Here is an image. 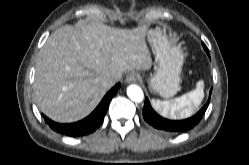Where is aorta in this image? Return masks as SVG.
<instances>
[{
	"instance_id": "obj_1",
	"label": "aorta",
	"mask_w": 249,
	"mask_h": 165,
	"mask_svg": "<svg viewBox=\"0 0 249 165\" xmlns=\"http://www.w3.org/2000/svg\"><path fill=\"white\" fill-rule=\"evenodd\" d=\"M127 95L134 102H142L144 99V93L142 89L137 85H129L127 87Z\"/></svg>"
}]
</instances>
